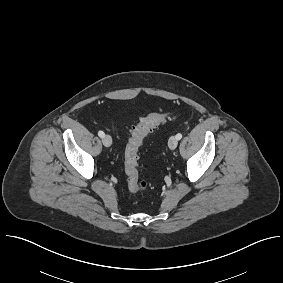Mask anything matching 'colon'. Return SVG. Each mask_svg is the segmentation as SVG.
<instances>
[{"mask_svg": "<svg viewBox=\"0 0 283 283\" xmlns=\"http://www.w3.org/2000/svg\"><path fill=\"white\" fill-rule=\"evenodd\" d=\"M168 118L166 112H153L144 117L134 126L127 142L124 154V169L128 188L131 192H139L149 187V181L139 177V150L144 139Z\"/></svg>", "mask_w": 283, "mask_h": 283, "instance_id": "1", "label": "colon"}]
</instances>
